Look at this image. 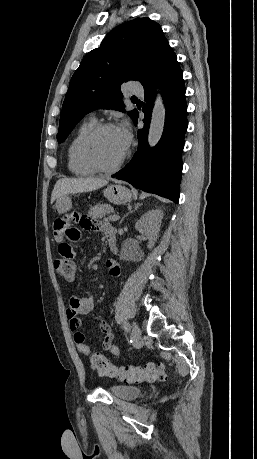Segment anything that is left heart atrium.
<instances>
[{"instance_id": "left-heart-atrium-1", "label": "left heart atrium", "mask_w": 257, "mask_h": 459, "mask_svg": "<svg viewBox=\"0 0 257 459\" xmlns=\"http://www.w3.org/2000/svg\"><path fill=\"white\" fill-rule=\"evenodd\" d=\"M116 129L122 147L124 148V150H127L132 139L131 128L129 124L127 122H123Z\"/></svg>"}]
</instances>
